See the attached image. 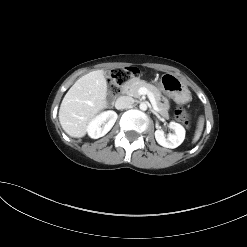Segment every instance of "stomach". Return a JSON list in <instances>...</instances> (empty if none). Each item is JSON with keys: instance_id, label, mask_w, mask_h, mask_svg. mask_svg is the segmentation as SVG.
Wrapping results in <instances>:
<instances>
[{"instance_id": "0dacf381", "label": "stomach", "mask_w": 247, "mask_h": 247, "mask_svg": "<svg viewBox=\"0 0 247 247\" xmlns=\"http://www.w3.org/2000/svg\"><path fill=\"white\" fill-rule=\"evenodd\" d=\"M159 87L176 103L185 104L190 100V91L181 80L173 74H163Z\"/></svg>"}]
</instances>
